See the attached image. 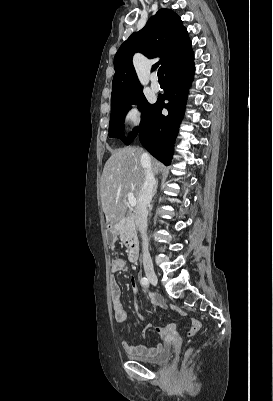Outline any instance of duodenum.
I'll return each mask as SVG.
<instances>
[{"instance_id": "obj_1", "label": "duodenum", "mask_w": 273, "mask_h": 401, "mask_svg": "<svg viewBox=\"0 0 273 401\" xmlns=\"http://www.w3.org/2000/svg\"><path fill=\"white\" fill-rule=\"evenodd\" d=\"M122 225H126L129 230V235L126 239L128 246V259L130 262H136L139 257V243L135 235V218L129 213L122 220L111 227L112 230L119 229Z\"/></svg>"}]
</instances>
